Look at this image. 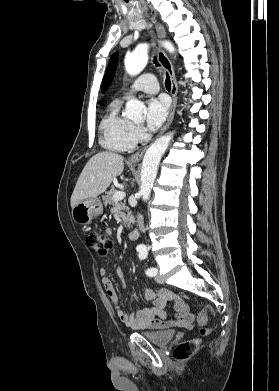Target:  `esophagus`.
<instances>
[{
    "instance_id": "34e87169",
    "label": "esophagus",
    "mask_w": 279,
    "mask_h": 391,
    "mask_svg": "<svg viewBox=\"0 0 279 391\" xmlns=\"http://www.w3.org/2000/svg\"><path fill=\"white\" fill-rule=\"evenodd\" d=\"M155 26H156V31H157L158 37L160 39L164 38L165 35H166L164 26L161 23H156ZM157 58H158V61H159L160 65L163 67V69L170 76V79H171V96H172V104H171V107H170V110H169V115H168V118H167V121H166L165 125L162 127V129H161V131L159 133V135H160V134H162L163 132H165L169 128V126L171 125V123L173 121L174 114H175V109H176V106H177L178 87H177L176 78H175V72H174L172 63L169 60L166 52L161 47L158 49ZM145 150H146V147L143 148L142 150L136 152L135 154L131 155L129 157V161L133 162V163L139 162L142 159Z\"/></svg>"
}]
</instances>
